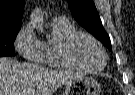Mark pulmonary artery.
Masks as SVG:
<instances>
[{"instance_id":"e3ab8cb5","label":"pulmonary artery","mask_w":135,"mask_h":95,"mask_svg":"<svg viewBox=\"0 0 135 95\" xmlns=\"http://www.w3.org/2000/svg\"><path fill=\"white\" fill-rule=\"evenodd\" d=\"M57 18H58V19H63V17H61V16H60V17H57Z\"/></svg>"}]
</instances>
